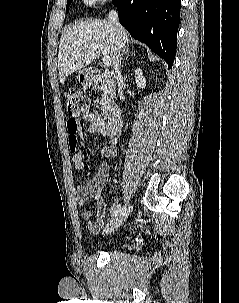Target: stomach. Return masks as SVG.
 I'll list each match as a JSON object with an SVG mask.
<instances>
[{
  "instance_id": "obj_1",
  "label": "stomach",
  "mask_w": 239,
  "mask_h": 303,
  "mask_svg": "<svg viewBox=\"0 0 239 303\" xmlns=\"http://www.w3.org/2000/svg\"><path fill=\"white\" fill-rule=\"evenodd\" d=\"M77 79L79 83L83 86H91L93 84V78L90 72L86 69L80 70Z\"/></svg>"
}]
</instances>
